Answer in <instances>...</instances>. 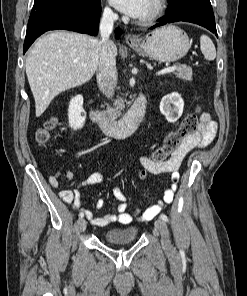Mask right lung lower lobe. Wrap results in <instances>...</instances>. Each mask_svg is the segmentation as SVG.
Listing matches in <instances>:
<instances>
[{
  "label": "right lung lower lobe",
  "mask_w": 247,
  "mask_h": 296,
  "mask_svg": "<svg viewBox=\"0 0 247 296\" xmlns=\"http://www.w3.org/2000/svg\"><path fill=\"white\" fill-rule=\"evenodd\" d=\"M101 3L91 7L81 0H46L34 4L27 25L23 53L37 37L49 30L65 29L97 35ZM119 38L121 29L115 30Z\"/></svg>",
  "instance_id": "1"
}]
</instances>
